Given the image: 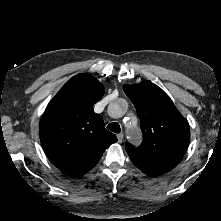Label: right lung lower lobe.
Here are the masks:
<instances>
[{"label":"right lung lower lobe","mask_w":221,"mask_h":221,"mask_svg":"<svg viewBox=\"0 0 221 221\" xmlns=\"http://www.w3.org/2000/svg\"><path fill=\"white\" fill-rule=\"evenodd\" d=\"M100 158L101 157L93 158V159H86V160L68 165L66 167H63L60 170L72 176H82L85 173H87L89 170H91L97 164Z\"/></svg>","instance_id":"98d812e1"}]
</instances>
